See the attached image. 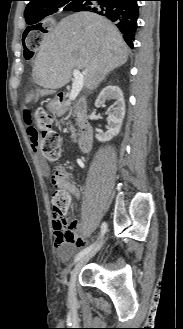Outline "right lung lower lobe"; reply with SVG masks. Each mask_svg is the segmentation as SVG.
<instances>
[{"label": "right lung lower lobe", "mask_w": 183, "mask_h": 329, "mask_svg": "<svg viewBox=\"0 0 183 329\" xmlns=\"http://www.w3.org/2000/svg\"><path fill=\"white\" fill-rule=\"evenodd\" d=\"M139 0H81L69 11H90L110 19L120 29L127 44L132 48Z\"/></svg>", "instance_id": "right-lung-lower-lobe-1"}]
</instances>
